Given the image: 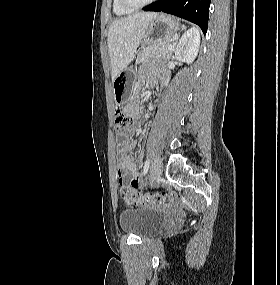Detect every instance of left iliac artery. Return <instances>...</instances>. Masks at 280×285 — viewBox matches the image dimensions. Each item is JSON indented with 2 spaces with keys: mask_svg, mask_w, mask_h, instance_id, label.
<instances>
[{
  "mask_svg": "<svg viewBox=\"0 0 280 285\" xmlns=\"http://www.w3.org/2000/svg\"><path fill=\"white\" fill-rule=\"evenodd\" d=\"M149 164H150V161H149V159H147L145 164H144V168H143L144 175L148 172Z\"/></svg>",
  "mask_w": 280,
  "mask_h": 285,
  "instance_id": "obj_1",
  "label": "left iliac artery"
}]
</instances>
